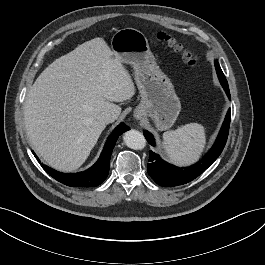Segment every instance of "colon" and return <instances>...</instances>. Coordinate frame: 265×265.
Instances as JSON below:
<instances>
[{
  "label": "colon",
  "mask_w": 265,
  "mask_h": 265,
  "mask_svg": "<svg viewBox=\"0 0 265 265\" xmlns=\"http://www.w3.org/2000/svg\"><path fill=\"white\" fill-rule=\"evenodd\" d=\"M157 37L160 41L166 43L168 46L172 47L174 51L178 52L188 66L198 67L203 61V57L200 52L185 46L179 42L176 37L164 32L159 33Z\"/></svg>",
  "instance_id": "obj_1"
}]
</instances>
